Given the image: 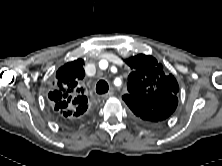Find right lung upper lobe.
Instances as JSON below:
<instances>
[{
  "mask_svg": "<svg viewBox=\"0 0 222 166\" xmlns=\"http://www.w3.org/2000/svg\"><path fill=\"white\" fill-rule=\"evenodd\" d=\"M84 60L77 59L61 66L56 72L49 103L62 120L82 118L88 112V100L80 86L84 78Z\"/></svg>",
  "mask_w": 222,
  "mask_h": 166,
  "instance_id": "obj_1",
  "label": "right lung upper lobe"
}]
</instances>
